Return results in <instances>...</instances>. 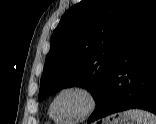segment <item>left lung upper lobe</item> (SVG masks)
<instances>
[{"mask_svg":"<svg viewBox=\"0 0 156 124\" xmlns=\"http://www.w3.org/2000/svg\"><path fill=\"white\" fill-rule=\"evenodd\" d=\"M156 8V0H82L51 37L39 101L71 86L100 98L126 45Z\"/></svg>","mask_w":156,"mask_h":124,"instance_id":"left-lung-upper-lobe-1","label":"left lung upper lobe"}]
</instances>
